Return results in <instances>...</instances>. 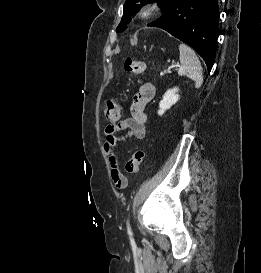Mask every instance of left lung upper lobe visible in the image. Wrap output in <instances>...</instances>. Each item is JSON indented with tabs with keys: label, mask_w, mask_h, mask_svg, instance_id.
<instances>
[{
	"label": "left lung upper lobe",
	"mask_w": 261,
	"mask_h": 273,
	"mask_svg": "<svg viewBox=\"0 0 261 273\" xmlns=\"http://www.w3.org/2000/svg\"><path fill=\"white\" fill-rule=\"evenodd\" d=\"M173 1L174 0H126L124 4L123 17L116 31L117 32L124 31L127 28V23L130 21L131 16L134 15V13L138 11L140 7L143 6L144 4L149 2H158L159 6L164 11L173 3Z\"/></svg>",
	"instance_id": "left-lung-upper-lobe-1"
}]
</instances>
